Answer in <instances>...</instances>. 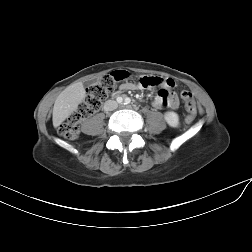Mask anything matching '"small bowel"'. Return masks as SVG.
Wrapping results in <instances>:
<instances>
[{
	"instance_id": "small-bowel-1",
	"label": "small bowel",
	"mask_w": 252,
	"mask_h": 252,
	"mask_svg": "<svg viewBox=\"0 0 252 252\" xmlns=\"http://www.w3.org/2000/svg\"><path fill=\"white\" fill-rule=\"evenodd\" d=\"M148 78L156 83L153 87H160L158 96L153 101L155 108L170 107L176 108L178 106V99L175 93V81L171 78H160L148 76ZM143 86L140 83H127L123 86L124 90H137Z\"/></svg>"
}]
</instances>
